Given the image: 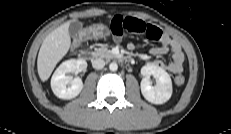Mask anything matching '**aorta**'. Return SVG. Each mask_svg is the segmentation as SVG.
<instances>
[{"label": "aorta", "mask_w": 231, "mask_h": 134, "mask_svg": "<svg viewBox=\"0 0 231 134\" xmlns=\"http://www.w3.org/2000/svg\"><path fill=\"white\" fill-rule=\"evenodd\" d=\"M109 69H110L111 71H116V70L118 69L117 63H115V62L110 63Z\"/></svg>", "instance_id": "aorta-1"}]
</instances>
